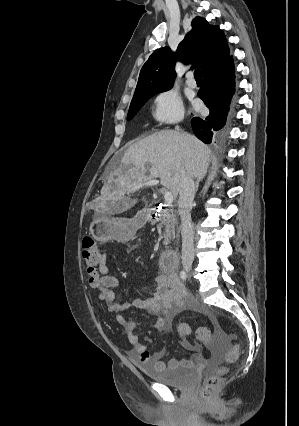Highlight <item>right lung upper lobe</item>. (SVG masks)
I'll list each match as a JSON object with an SVG mask.
<instances>
[{
  "label": "right lung upper lobe",
  "instance_id": "cb5924a9",
  "mask_svg": "<svg viewBox=\"0 0 299 426\" xmlns=\"http://www.w3.org/2000/svg\"><path fill=\"white\" fill-rule=\"evenodd\" d=\"M229 58L224 33L204 18L195 17L192 30L179 43L176 53L169 47L154 51L143 65L134 96L170 89L175 79V62L198 63L202 76L223 65ZM133 96V97H134Z\"/></svg>",
  "mask_w": 299,
  "mask_h": 426
}]
</instances>
